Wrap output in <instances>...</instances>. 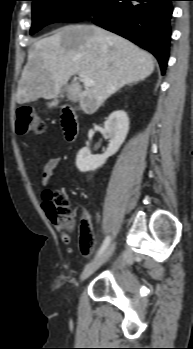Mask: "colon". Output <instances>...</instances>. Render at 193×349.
<instances>
[{"label": "colon", "instance_id": "colon-1", "mask_svg": "<svg viewBox=\"0 0 193 349\" xmlns=\"http://www.w3.org/2000/svg\"><path fill=\"white\" fill-rule=\"evenodd\" d=\"M16 132L21 136L36 135L41 137L45 134V123L33 107L21 106L17 109ZM44 208L49 217L62 227H73V211L65 196L54 194L44 202ZM88 243H91V240Z\"/></svg>", "mask_w": 193, "mask_h": 349}]
</instances>
